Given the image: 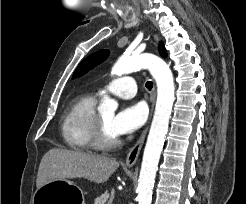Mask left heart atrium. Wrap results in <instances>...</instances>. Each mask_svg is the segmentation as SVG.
I'll return each mask as SVG.
<instances>
[{
    "instance_id": "1",
    "label": "left heart atrium",
    "mask_w": 246,
    "mask_h": 204,
    "mask_svg": "<svg viewBox=\"0 0 246 204\" xmlns=\"http://www.w3.org/2000/svg\"><path fill=\"white\" fill-rule=\"evenodd\" d=\"M147 110L143 103L124 106L114 117L111 127L116 136L132 133L146 121Z\"/></svg>"
}]
</instances>
